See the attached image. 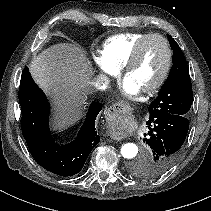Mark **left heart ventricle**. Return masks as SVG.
<instances>
[{"label": "left heart ventricle", "instance_id": "obj_1", "mask_svg": "<svg viewBox=\"0 0 211 211\" xmlns=\"http://www.w3.org/2000/svg\"><path fill=\"white\" fill-rule=\"evenodd\" d=\"M166 63V50L159 39H150L143 46L139 58L127 78L140 91L151 87L160 77Z\"/></svg>", "mask_w": 211, "mask_h": 211}]
</instances>
